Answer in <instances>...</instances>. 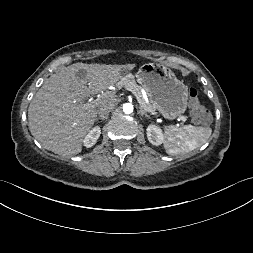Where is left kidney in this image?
<instances>
[{
  "label": "left kidney",
  "mask_w": 253,
  "mask_h": 253,
  "mask_svg": "<svg viewBox=\"0 0 253 253\" xmlns=\"http://www.w3.org/2000/svg\"><path fill=\"white\" fill-rule=\"evenodd\" d=\"M146 131L147 138L151 144L159 146L164 142V134L162 133L161 129L156 125H149Z\"/></svg>",
  "instance_id": "5707ae66"
}]
</instances>
